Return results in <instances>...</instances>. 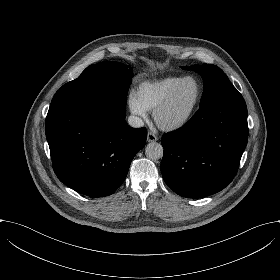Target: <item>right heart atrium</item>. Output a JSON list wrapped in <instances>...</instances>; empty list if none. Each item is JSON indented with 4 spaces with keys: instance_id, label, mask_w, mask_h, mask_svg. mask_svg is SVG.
<instances>
[{
    "instance_id": "d8ad5b80",
    "label": "right heart atrium",
    "mask_w": 280,
    "mask_h": 280,
    "mask_svg": "<svg viewBox=\"0 0 280 280\" xmlns=\"http://www.w3.org/2000/svg\"><path fill=\"white\" fill-rule=\"evenodd\" d=\"M129 109L136 115L141 117L147 116V111L139 104L134 95L129 96L128 98Z\"/></svg>"
}]
</instances>
